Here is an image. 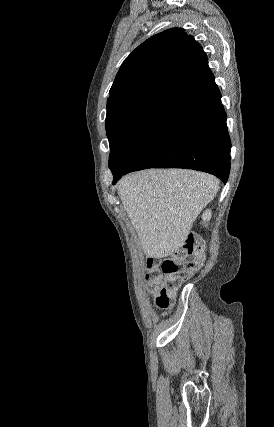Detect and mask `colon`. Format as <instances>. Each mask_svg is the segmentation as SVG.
Returning <instances> with one entry per match:
<instances>
[{"label": "colon", "instance_id": "1", "mask_svg": "<svg viewBox=\"0 0 274 427\" xmlns=\"http://www.w3.org/2000/svg\"><path fill=\"white\" fill-rule=\"evenodd\" d=\"M205 242L196 241L192 233L186 235L183 248L175 253L149 257L145 262V277L154 292L156 311L167 309L180 280L197 272L205 263Z\"/></svg>", "mask_w": 274, "mask_h": 427}]
</instances>
